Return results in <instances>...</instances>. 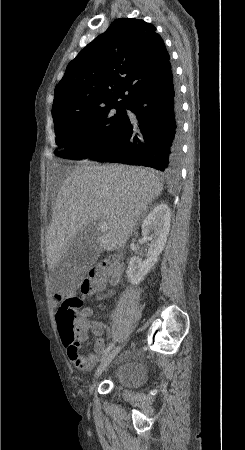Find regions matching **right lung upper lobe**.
I'll return each mask as SVG.
<instances>
[{"instance_id": "right-lung-upper-lobe-1", "label": "right lung upper lobe", "mask_w": 245, "mask_h": 450, "mask_svg": "<svg viewBox=\"0 0 245 450\" xmlns=\"http://www.w3.org/2000/svg\"><path fill=\"white\" fill-rule=\"evenodd\" d=\"M169 59L153 25L117 19L68 64L55 87L52 110L128 105L170 69Z\"/></svg>"}]
</instances>
